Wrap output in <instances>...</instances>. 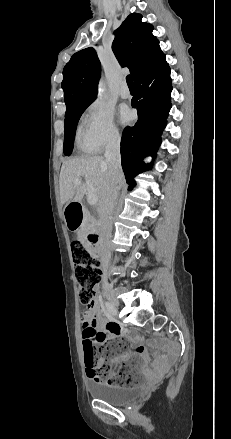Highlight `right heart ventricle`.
<instances>
[{
  "instance_id": "obj_1",
  "label": "right heart ventricle",
  "mask_w": 231,
  "mask_h": 439,
  "mask_svg": "<svg viewBox=\"0 0 231 439\" xmlns=\"http://www.w3.org/2000/svg\"><path fill=\"white\" fill-rule=\"evenodd\" d=\"M78 145L85 152H93V149L82 139L81 133L78 138Z\"/></svg>"
}]
</instances>
